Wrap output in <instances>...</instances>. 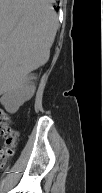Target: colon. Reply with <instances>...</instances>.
<instances>
[{
  "label": "colon",
  "instance_id": "1",
  "mask_svg": "<svg viewBox=\"0 0 103 193\" xmlns=\"http://www.w3.org/2000/svg\"><path fill=\"white\" fill-rule=\"evenodd\" d=\"M3 133H4V135H6L7 136V141H6V143H7V145L8 146H11L12 144H13V142H14V134L12 133V132H10L8 129H3ZM9 152L11 153V150L9 149Z\"/></svg>",
  "mask_w": 103,
  "mask_h": 193
}]
</instances>
